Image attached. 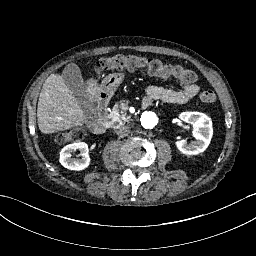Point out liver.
I'll list each match as a JSON object with an SVG mask.
<instances>
[{"label":"liver","mask_w":256,"mask_h":256,"mask_svg":"<svg viewBox=\"0 0 256 256\" xmlns=\"http://www.w3.org/2000/svg\"><path fill=\"white\" fill-rule=\"evenodd\" d=\"M104 85L94 76L84 82L85 96L91 104L103 100ZM86 124L84 111L59 73H52L44 82L37 105V125L43 134L81 127Z\"/></svg>","instance_id":"obj_1"}]
</instances>
